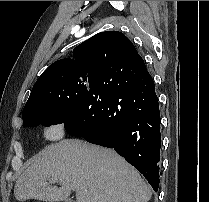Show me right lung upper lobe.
<instances>
[{
    "instance_id": "1",
    "label": "right lung upper lobe",
    "mask_w": 209,
    "mask_h": 202,
    "mask_svg": "<svg viewBox=\"0 0 209 202\" xmlns=\"http://www.w3.org/2000/svg\"><path fill=\"white\" fill-rule=\"evenodd\" d=\"M73 59H60L51 64L38 78L23 113L30 109L33 95L49 78L87 74L96 78L111 70L125 72L131 60L141 58L132 42L121 32L105 31L94 35L73 49ZM28 120L23 118V126Z\"/></svg>"
}]
</instances>
